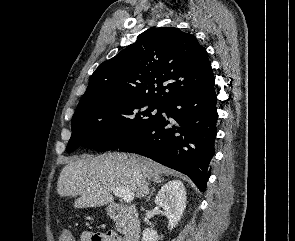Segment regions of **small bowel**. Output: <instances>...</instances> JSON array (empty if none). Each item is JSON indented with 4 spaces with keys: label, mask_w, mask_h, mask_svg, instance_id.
Returning a JSON list of instances; mask_svg holds the SVG:
<instances>
[{
    "label": "small bowel",
    "mask_w": 295,
    "mask_h": 241,
    "mask_svg": "<svg viewBox=\"0 0 295 241\" xmlns=\"http://www.w3.org/2000/svg\"><path fill=\"white\" fill-rule=\"evenodd\" d=\"M81 241H123V239L116 233H92L83 232L81 234Z\"/></svg>",
    "instance_id": "c3829d8e"
}]
</instances>
